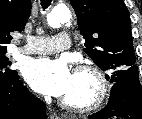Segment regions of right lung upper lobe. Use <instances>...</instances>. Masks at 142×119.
<instances>
[{"label":"right lung upper lobe","mask_w":142,"mask_h":119,"mask_svg":"<svg viewBox=\"0 0 142 119\" xmlns=\"http://www.w3.org/2000/svg\"><path fill=\"white\" fill-rule=\"evenodd\" d=\"M30 12V0H0V52L7 50L11 32L24 30Z\"/></svg>","instance_id":"obj_1"}]
</instances>
